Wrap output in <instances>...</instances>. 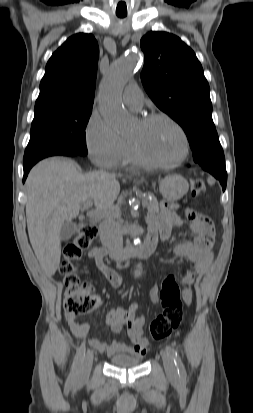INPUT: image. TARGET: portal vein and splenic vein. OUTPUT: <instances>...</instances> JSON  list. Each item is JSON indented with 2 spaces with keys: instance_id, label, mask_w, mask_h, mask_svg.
<instances>
[{
  "instance_id": "1",
  "label": "portal vein and splenic vein",
  "mask_w": 253,
  "mask_h": 413,
  "mask_svg": "<svg viewBox=\"0 0 253 413\" xmlns=\"http://www.w3.org/2000/svg\"><path fill=\"white\" fill-rule=\"evenodd\" d=\"M142 204H143L144 207L146 206V203H142ZM91 206H92V201H91V200H87L86 203L84 204L83 208H82V211L90 208Z\"/></svg>"
}]
</instances>
